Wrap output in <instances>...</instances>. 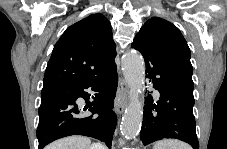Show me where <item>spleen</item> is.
<instances>
[{"label":"spleen","instance_id":"1","mask_svg":"<svg viewBox=\"0 0 227 149\" xmlns=\"http://www.w3.org/2000/svg\"><path fill=\"white\" fill-rule=\"evenodd\" d=\"M153 149H191L189 145L182 141L173 140V139H164L157 141Z\"/></svg>","mask_w":227,"mask_h":149}]
</instances>
